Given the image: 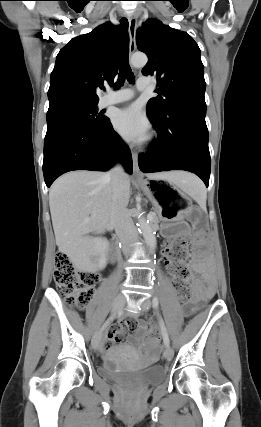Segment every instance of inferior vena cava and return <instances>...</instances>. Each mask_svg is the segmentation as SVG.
<instances>
[{"label": "inferior vena cava", "instance_id": "inferior-vena-cava-1", "mask_svg": "<svg viewBox=\"0 0 261 427\" xmlns=\"http://www.w3.org/2000/svg\"><path fill=\"white\" fill-rule=\"evenodd\" d=\"M113 190L112 205L110 210V224L122 243V251L125 255L132 252L131 244L137 238V230L127 210L129 202V187L127 174L120 164L114 166L107 173Z\"/></svg>", "mask_w": 261, "mask_h": 427}]
</instances>
